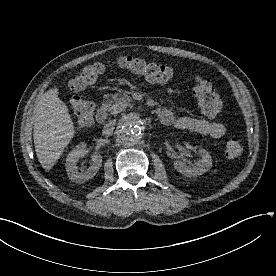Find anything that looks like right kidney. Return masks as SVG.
I'll return each instance as SVG.
<instances>
[{"mask_svg":"<svg viewBox=\"0 0 276 276\" xmlns=\"http://www.w3.org/2000/svg\"><path fill=\"white\" fill-rule=\"evenodd\" d=\"M86 153V144L77 145L66 158V172L68 177L76 183H83L92 179L99 171L102 163V157L99 154L92 156V164L85 171H79L77 163Z\"/></svg>","mask_w":276,"mask_h":276,"instance_id":"right-kidney-1","label":"right kidney"}]
</instances>
